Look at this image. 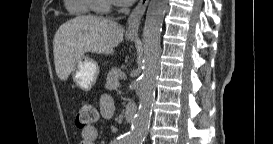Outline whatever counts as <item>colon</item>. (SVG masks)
I'll return each instance as SVG.
<instances>
[{"label": "colon", "instance_id": "5ec220e1", "mask_svg": "<svg viewBox=\"0 0 273 144\" xmlns=\"http://www.w3.org/2000/svg\"><path fill=\"white\" fill-rule=\"evenodd\" d=\"M98 118V110L95 104L90 100H83L76 116V125L80 129H84L93 124Z\"/></svg>", "mask_w": 273, "mask_h": 144}]
</instances>
